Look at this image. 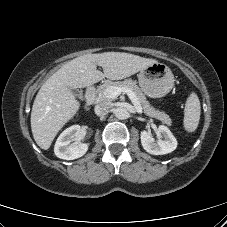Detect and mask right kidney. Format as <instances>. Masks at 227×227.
Returning <instances> with one entry per match:
<instances>
[{
	"instance_id": "ca27d5eb",
	"label": "right kidney",
	"mask_w": 227,
	"mask_h": 227,
	"mask_svg": "<svg viewBox=\"0 0 227 227\" xmlns=\"http://www.w3.org/2000/svg\"><path fill=\"white\" fill-rule=\"evenodd\" d=\"M80 133L81 127L79 125H73L64 130L55 143V155L64 160H74L82 157L87 152L89 143L73 142L77 140Z\"/></svg>"
}]
</instances>
